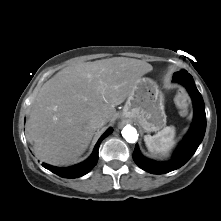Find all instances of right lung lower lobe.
I'll use <instances>...</instances> for the list:
<instances>
[{"label": "right lung lower lobe", "mask_w": 221, "mask_h": 221, "mask_svg": "<svg viewBox=\"0 0 221 221\" xmlns=\"http://www.w3.org/2000/svg\"><path fill=\"white\" fill-rule=\"evenodd\" d=\"M113 131L112 128H109L98 140L97 144L95 145L94 151L92 155L84 162L68 167V168H59L54 167L48 164L43 163L42 166L46 169H49L51 172L63 177V178H78L87 174L97 163L98 161V148L101 141L107 137Z\"/></svg>", "instance_id": "1"}]
</instances>
